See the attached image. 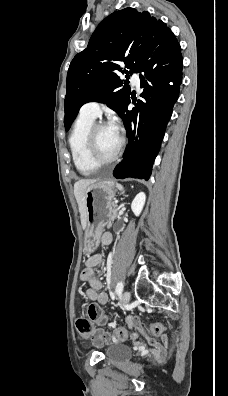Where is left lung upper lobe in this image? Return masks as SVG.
<instances>
[{
  "label": "left lung upper lobe",
  "instance_id": "5c2ea615",
  "mask_svg": "<svg viewBox=\"0 0 228 396\" xmlns=\"http://www.w3.org/2000/svg\"><path fill=\"white\" fill-rule=\"evenodd\" d=\"M168 30L165 23L149 12L131 7L106 17L92 34L87 48L69 66L65 130H69L80 107L91 101L106 104L121 117L130 89L116 72L137 73L153 39ZM121 62L126 69L121 68Z\"/></svg>",
  "mask_w": 228,
  "mask_h": 396
}]
</instances>
